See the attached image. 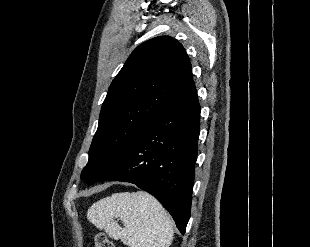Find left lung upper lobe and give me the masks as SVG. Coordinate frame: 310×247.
<instances>
[{
	"mask_svg": "<svg viewBox=\"0 0 310 247\" xmlns=\"http://www.w3.org/2000/svg\"><path fill=\"white\" fill-rule=\"evenodd\" d=\"M193 86L188 55L177 40L160 36L139 45L110 85L81 178L99 181Z\"/></svg>",
	"mask_w": 310,
	"mask_h": 247,
	"instance_id": "obj_1",
	"label": "left lung upper lobe"
}]
</instances>
